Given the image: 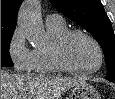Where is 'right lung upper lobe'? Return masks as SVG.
Here are the masks:
<instances>
[{"instance_id": "obj_1", "label": "right lung upper lobe", "mask_w": 115, "mask_h": 99, "mask_svg": "<svg viewBox=\"0 0 115 99\" xmlns=\"http://www.w3.org/2000/svg\"><path fill=\"white\" fill-rule=\"evenodd\" d=\"M22 0H1V31H14Z\"/></svg>"}]
</instances>
